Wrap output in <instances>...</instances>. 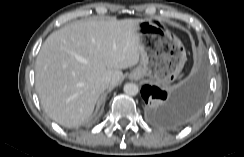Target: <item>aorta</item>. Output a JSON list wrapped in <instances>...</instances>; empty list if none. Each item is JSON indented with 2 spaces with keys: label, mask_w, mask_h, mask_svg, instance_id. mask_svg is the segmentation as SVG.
<instances>
[{
  "label": "aorta",
  "mask_w": 244,
  "mask_h": 157,
  "mask_svg": "<svg viewBox=\"0 0 244 157\" xmlns=\"http://www.w3.org/2000/svg\"><path fill=\"white\" fill-rule=\"evenodd\" d=\"M127 95L135 96L139 92V88L135 83H126L123 88Z\"/></svg>",
  "instance_id": "1"
}]
</instances>
